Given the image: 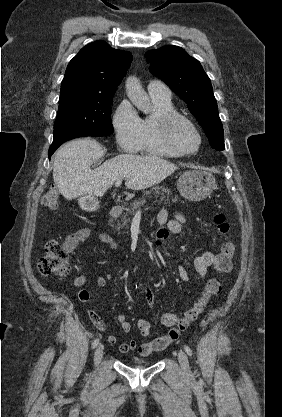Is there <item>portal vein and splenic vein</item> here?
<instances>
[{
    "instance_id": "portal-vein-and-splenic-vein-1",
    "label": "portal vein and splenic vein",
    "mask_w": 282,
    "mask_h": 417,
    "mask_svg": "<svg viewBox=\"0 0 282 417\" xmlns=\"http://www.w3.org/2000/svg\"><path fill=\"white\" fill-rule=\"evenodd\" d=\"M122 180H117V182H115V186H120Z\"/></svg>"
}]
</instances>
